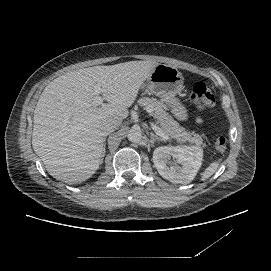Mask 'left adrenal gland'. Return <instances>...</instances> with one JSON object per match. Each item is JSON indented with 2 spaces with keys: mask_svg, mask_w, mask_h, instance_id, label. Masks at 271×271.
<instances>
[{
  "mask_svg": "<svg viewBox=\"0 0 271 271\" xmlns=\"http://www.w3.org/2000/svg\"><path fill=\"white\" fill-rule=\"evenodd\" d=\"M151 134V138H150V144H151V147H153V145L156 143V142H163L162 139H159L158 137H156L152 132L150 133Z\"/></svg>",
  "mask_w": 271,
  "mask_h": 271,
  "instance_id": "a2214340",
  "label": "left adrenal gland"
}]
</instances>
